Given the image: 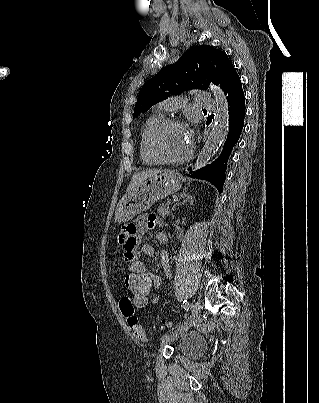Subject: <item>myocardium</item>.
Here are the masks:
<instances>
[{"label":"myocardium","mask_w":319,"mask_h":403,"mask_svg":"<svg viewBox=\"0 0 319 403\" xmlns=\"http://www.w3.org/2000/svg\"><path fill=\"white\" fill-rule=\"evenodd\" d=\"M170 126H181V127H184L185 129H187V126L184 123V121H182L178 118L164 119L152 132L150 141H149V149H150V152L153 155V157L155 159H157L160 163L181 164V163L188 161L192 157V155L194 153V143L191 139L190 148H189L188 152L180 158L172 159V158L164 157L158 149V140H159V137L162 134V132Z\"/></svg>","instance_id":"myocardium-1"}]
</instances>
